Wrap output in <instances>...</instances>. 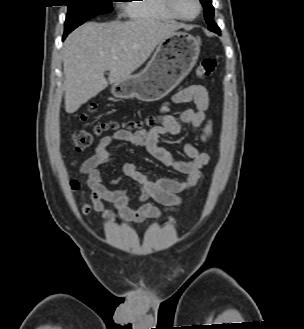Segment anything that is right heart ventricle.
Masks as SVG:
<instances>
[{"label":"right heart ventricle","mask_w":304,"mask_h":329,"mask_svg":"<svg viewBox=\"0 0 304 329\" xmlns=\"http://www.w3.org/2000/svg\"><path fill=\"white\" fill-rule=\"evenodd\" d=\"M125 6L132 19L157 21L174 19L166 9L163 0H130Z\"/></svg>","instance_id":"right-heart-ventricle-1"}]
</instances>
